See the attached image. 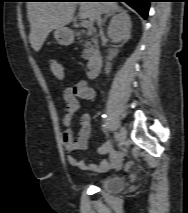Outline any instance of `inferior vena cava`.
I'll list each match as a JSON object with an SVG mask.
<instances>
[{"mask_svg": "<svg viewBox=\"0 0 188 213\" xmlns=\"http://www.w3.org/2000/svg\"><path fill=\"white\" fill-rule=\"evenodd\" d=\"M96 20H97L98 26L101 27L102 20H101V14L100 13H98L96 15Z\"/></svg>", "mask_w": 188, "mask_h": 213, "instance_id": "602c4592", "label": "inferior vena cava"}]
</instances>
